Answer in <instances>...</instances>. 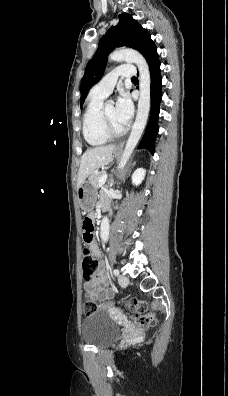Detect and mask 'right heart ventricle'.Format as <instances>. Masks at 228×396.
<instances>
[{
    "label": "right heart ventricle",
    "mask_w": 228,
    "mask_h": 396,
    "mask_svg": "<svg viewBox=\"0 0 228 396\" xmlns=\"http://www.w3.org/2000/svg\"><path fill=\"white\" fill-rule=\"evenodd\" d=\"M104 97L89 94L86 110L83 115L82 131L86 142L91 146L106 144L109 137L105 135L101 123V109Z\"/></svg>",
    "instance_id": "e07e8e85"
}]
</instances>
